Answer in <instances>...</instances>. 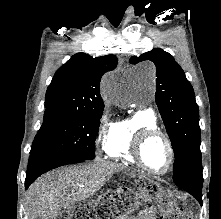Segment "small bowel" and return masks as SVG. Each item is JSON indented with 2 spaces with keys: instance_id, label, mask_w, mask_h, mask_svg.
<instances>
[{
  "instance_id": "small-bowel-1",
  "label": "small bowel",
  "mask_w": 221,
  "mask_h": 219,
  "mask_svg": "<svg viewBox=\"0 0 221 219\" xmlns=\"http://www.w3.org/2000/svg\"><path fill=\"white\" fill-rule=\"evenodd\" d=\"M131 219H156V210L152 207L142 210L138 216Z\"/></svg>"
}]
</instances>
